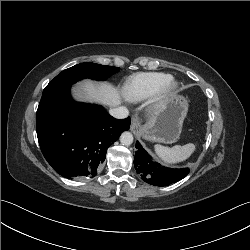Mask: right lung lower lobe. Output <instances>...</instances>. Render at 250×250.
Returning <instances> with one entry per match:
<instances>
[{
	"instance_id": "right-lung-lower-lobe-1",
	"label": "right lung lower lobe",
	"mask_w": 250,
	"mask_h": 250,
	"mask_svg": "<svg viewBox=\"0 0 250 250\" xmlns=\"http://www.w3.org/2000/svg\"><path fill=\"white\" fill-rule=\"evenodd\" d=\"M69 89L62 87L40 101L39 145L47 162L63 177L93 178L107 148L129 129L130 119H115L100 105L77 103Z\"/></svg>"
}]
</instances>
